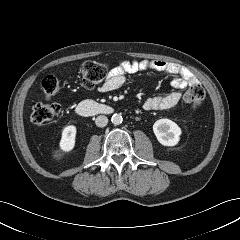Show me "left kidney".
Masks as SVG:
<instances>
[{
	"mask_svg": "<svg viewBox=\"0 0 240 240\" xmlns=\"http://www.w3.org/2000/svg\"><path fill=\"white\" fill-rule=\"evenodd\" d=\"M153 132L158 142L164 146H175L182 133L181 128L175 122L166 118L154 123Z\"/></svg>",
	"mask_w": 240,
	"mask_h": 240,
	"instance_id": "obj_1",
	"label": "left kidney"
}]
</instances>
